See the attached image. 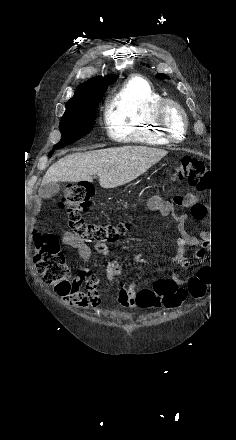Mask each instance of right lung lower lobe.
I'll return each instance as SVG.
<instances>
[{
  "label": "right lung lower lobe",
  "instance_id": "right-lung-lower-lobe-1",
  "mask_svg": "<svg viewBox=\"0 0 236 440\" xmlns=\"http://www.w3.org/2000/svg\"><path fill=\"white\" fill-rule=\"evenodd\" d=\"M52 153H53V151H51V152L49 153V156H51V155H52Z\"/></svg>",
  "mask_w": 236,
  "mask_h": 440
}]
</instances>
